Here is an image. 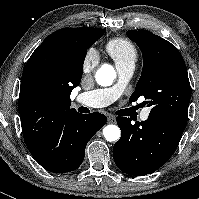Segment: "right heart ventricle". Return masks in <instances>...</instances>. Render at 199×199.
Segmentation results:
<instances>
[{"instance_id": "e07e8e85", "label": "right heart ventricle", "mask_w": 199, "mask_h": 199, "mask_svg": "<svg viewBox=\"0 0 199 199\" xmlns=\"http://www.w3.org/2000/svg\"><path fill=\"white\" fill-rule=\"evenodd\" d=\"M106 51L113 58L116 66L134 63L138 52L135 45L126 38H114L106 44Z\"/></svg>"}]
</instances>
